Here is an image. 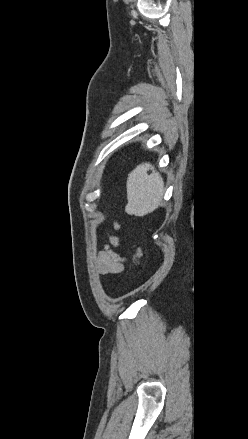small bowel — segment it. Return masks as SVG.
Here are the masks:
<instances>
[{"label": "small bowel", "instance_id": "obj_1", "mask_svg": "<svg viewBox=\"0 0 248 439\" xmlns=\"http://www.w3.org/2000/svg\"><path fill=\"white\" fill-rule=\"evenodd\" d=\"M114 228L120 231V225L118 223H114ZM108 239L109 243L104 244L103 249L98 253L97 268L103 275H114L124 270L126 259L113 250V247L119 245L118 236L108 234Z\"/></svg>", "mask_w": 248, "mask_h": 439}]
</instances>
